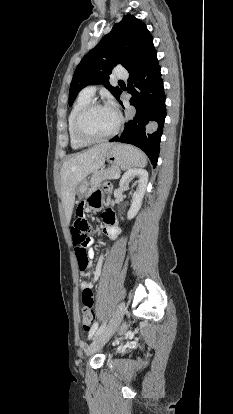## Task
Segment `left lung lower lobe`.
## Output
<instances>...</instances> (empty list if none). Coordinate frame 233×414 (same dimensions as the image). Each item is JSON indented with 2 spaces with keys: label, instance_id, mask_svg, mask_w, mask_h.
<instances>
[{
  "label": "left lung lower lobe",
  "instance_id": "1",
  "mask_svg": "<svg viewBox=\"0 0 233 414\" xmlns=\"http://www.w3.org/2000/svg\"><path fill=\"white\" fill-rule=\"evenodd\" d=\"M130 104L136 114L124 127L121 135L110 141L132 144L143 150L153 166L157 165L163 124L166 117L165 94L157 53L129 73ZM118 101H120V97Z\"/></svg>",
  "mask_w": 233,
  "mask_h": 414
}]
</instances>
